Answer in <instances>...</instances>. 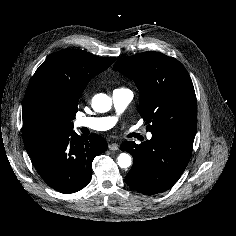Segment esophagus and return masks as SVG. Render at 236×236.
I'll return each instance as SVG.
<instances>
[{
	"mask_svg": "<svg viewBox=\"0 0 236 236\" xmlns=\"http://www.w3.org/2000/svg\"><path fill=\"white\" fill-rule=\"evenodd\" d=\"M108 148H109V150H111V151H116V150L119 149V146H118L117 143H110V144L108 145Z\"/></svg>",
	"mask_w": 236,
	"mask_h": 236,
	"instance_id": "esophagus-1",
	"label": "esophagus"
}]
</instances>
